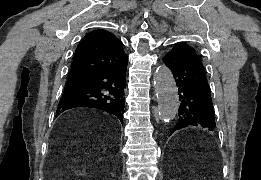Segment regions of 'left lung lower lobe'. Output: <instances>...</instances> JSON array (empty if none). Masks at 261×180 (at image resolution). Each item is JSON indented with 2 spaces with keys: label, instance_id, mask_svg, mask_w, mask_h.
<instances>
[{
  "label": "left lung lower lobe",
  "instance_id": "1",
  "mask_svg": "<svg viewBox=\"0 0 261 180\" xmlns=\"http://www.w3.org/2000/svg\"><path fill=\"white\" fill-rule=\"evenodd\" d=\"M163 61L171 69L179 87V119L170 134L187 126L214 130L215 112L200 59L190 47L178 44L163 57Z\"/></svg>",
  "mask_w": 261,
  "mask_h": 180
}]
</instances>
